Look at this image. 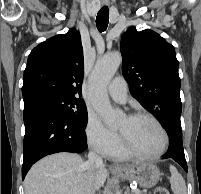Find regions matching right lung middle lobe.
Listing matches in <instances>:
<instances>
[{"label": "right lung middle lobe", "mask_w": 201, "mask_h": 194, "mask_svg": "<svg viewBox=\"0 0 201 194\" xmlns=\"http://www.w3.org/2000/svg\"><path fill=\"white\" fill-rule=\"evenodd\" d=\"M28 103H37L52 107L60 111L81 129H85L86 127L87 108L83 100L57 95H45L36 97Z\"/></svg>", "instance_id": "obj_1"}]
</instances>
